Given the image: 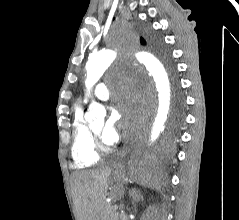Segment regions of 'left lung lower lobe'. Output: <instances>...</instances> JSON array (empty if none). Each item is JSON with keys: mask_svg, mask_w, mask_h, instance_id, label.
<instances>
[{"mask_svg": "<svg viewBox=\"0 0 239 220\" xmlns=\"http://www.w3.org/2000/svg\"><path fill=\"white\" fill-rule=\"evenodd\" d=\"M155 167H156L155 162L150 159H146L142 165V169L144 171H151V170L155 169Z\"/></svg>", "mask_w": 239, "mask_h": 220, "instance_id": "0a47b994", "label": "left lung lower lobe"}]
</instances>
